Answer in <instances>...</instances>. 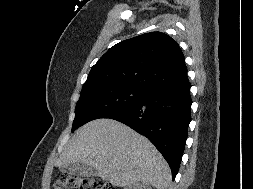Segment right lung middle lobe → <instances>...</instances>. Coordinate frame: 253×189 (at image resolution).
Listing matches in <instances>:
<instances>
[{"instance_id": "obj_1", "label": "right lung middle lobe", "mask_w": 253, "mask_h": 189, "mask_svg": "<svg viewBox=\"0 0 253 189\" xmlns=\"http://www.w3.org/2000/svg\"><path fill=\"white\" fill-rule=\"evenodd\" d=\"M145 94V90L124 86H108L81 93L72 132L89 121L106 118L134 105Z\"/></svg>"}]
</instances>
